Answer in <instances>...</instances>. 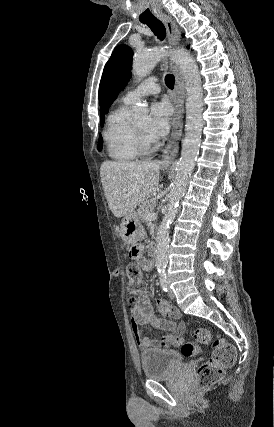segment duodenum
I'll return each mask as SVG.
<instances>
[{
	"label": "duodenum",
	"instance_id": "obj_1",
	"mask_svg": "<svg viewBox=\"0 0 274 427\" xmlns=\"http://www.w3.org/2000/svg\"><path fill=\"white\" fill-rule=\"evenodd\" d=\"M149 252L151 256H154L156 254V246H151Z\"/></svg>",
	"mask_w": 274,
	"mask_h": 427
}]
</instances>
